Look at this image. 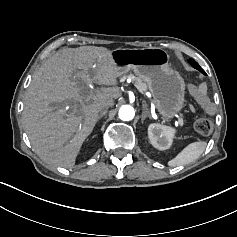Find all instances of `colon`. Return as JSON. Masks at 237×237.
<instances>
[{
    "label": "colon",
    "instance_id": "obj_1",
    "mask_svg": "<svg viewBox=\"0 0 237 237\" xmlns=\"http://www.w3.org/2000/svg\"><path fill=\"white\" fill-rule=\"evenodd\" d=\"M188 90L190 94L195 98V100L203 107V109L208 112H211L215 109V105L208 99L204 87L189 84ZM213 127L214 123L208 117H199L194 122V128L196 132L201 135L210 134L213 130Z\"/></svg>",
    "mask_w": 237,
    "mask_h": 237
}]
</instances>
